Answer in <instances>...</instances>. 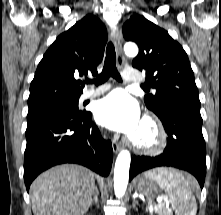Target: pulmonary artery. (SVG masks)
<instances>
[{
  "label": "pulmonary artery",
  "mask_w": 221,
  "mask_h": 215,
  "mask_svg": "<svg viewBox=\"0 0 221 215\" xmlns=\"http://www.w3.org/2000/svg\"><path fill=\"white\" fill-rule=\"evenodd\" d=\"M123 77H124V80L129 83H139V82H142L143 80L142 76L135 69H132V68L126 69L123 72ZM109 88H110V85L106 84V85L99 86L95 89L86 90L81 94L79 100L80 102H84L85 100L91 99L93 97H96L104 93Z\"/></svg>",
  "instance_id": "obj_1"
}]
</instances>
